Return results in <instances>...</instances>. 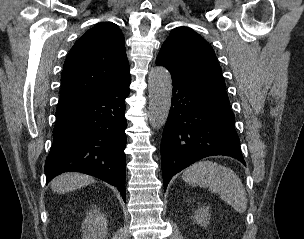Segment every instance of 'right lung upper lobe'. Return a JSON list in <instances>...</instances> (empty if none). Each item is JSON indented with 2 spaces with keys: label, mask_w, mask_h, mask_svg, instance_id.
I'll return each mask as SVG.
<instances>
[{
  "label": "right lung upper lobe",
  "mask_w": 304,
  "mask_h": 239,
  "mask_svg": "<svg viewBox=\"0 0 304 239\" xmlns=\"http://www.w3.org/2000/svg\"><path fill=\"white\" fill-rule=\"evenodd\" d=\"M129 76L121 30L112 22L99 24L74 44L65 60L57 110L83 102Z\"/></svg>",
  "instance_id": "1"
}]
</instances>
